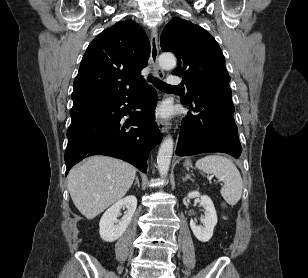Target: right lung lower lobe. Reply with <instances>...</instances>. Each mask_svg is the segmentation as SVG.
Here are the masks:
<instances>
[{
  "label": "right lung lower lobe",
  "mask_w": 308,
  "mask_h": 278,
  "mask_svg": "<svg viewBox=\"0 0 308 278\" xmlns=\"http://www.w3.org/2000/svg\"><path fill=\"white\" fill-rule=\"evenodd\" d=\"M156 96L153 87L143 86L139 93L71 115L65 152L66 175L75 163L96 154L122 159L146 173V156L161 141L154 122ZM129 106L141 111L130 112ZM128 114L132 117L125 121L123 117Z\"/></svg>",
  "instance_id": "obj_1"
}]
</instances>
